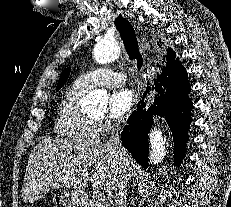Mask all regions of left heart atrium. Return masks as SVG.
Listing matches in <instances>:
<instances>
[{"label": "left heart atrium", "mask_w": 231, "mask_h": 207, "mask_svg": "<svg viewBox=\"0 0 231 207\" xmlns=\"http://www.w3.org/2000/svg\"><path fill=\"white\" fill-rule=\"evenodd\" d=\"M134 102L135 96L132 90L127 88L115 90L109 98L110 117L122 118L130 111Z\"/></svg>", "instance_id": "39dd6f15"}]
</instances>
